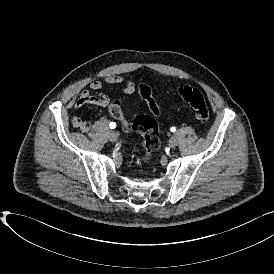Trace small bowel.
<instances>
[{"label":"small bowel","instance_id":"small-bowel-1","mask_svg":"<svg viewBox=\"0 0 274 274\" xmlns=\"http://www.w3.org/2000/svg\"><path fill=\"white\" fill-rule=\"evenodd\" d=\"M168 79H163V83H168ZM125 83L124 86L120 84ZM104 84L111 86L114 90L124 94H130L134 91L135 85L131 81L125 80L120 75H107L103 81L93 80L89 83V89L80 92L74 102V107L80 109L87 104H95L106 107L110 104V98L103 92ZM72 125L82 132H88L91 128V122L79 116L72 118Z\"/></svg>","mask_w":274,"mask_h":274}]
</instances>
